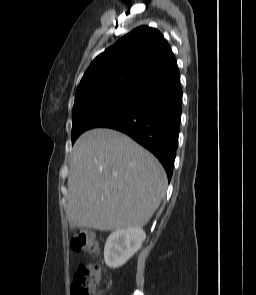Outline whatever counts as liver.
Here are the masks:
<instances>
[{"mask_svg":"<svg viewBox=\"0 0 256 295\" xmlns=\"http://www.w3.org/2000/svg\"><path fill=\"white\" fill-rule=\"evenodd\" d=\"M157 158L130 137L97 128L75 142L65 212L71 227L112 231L145 226L165 194Z\"/></svg>","mask_w":256,"mask_h":295,"instance_id":"obj_1","label":"liver"}]
</instances>
